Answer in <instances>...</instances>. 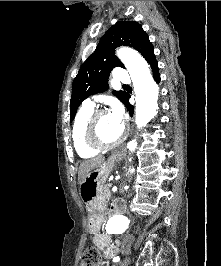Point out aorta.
Masks as SVG:
<instances>
[{"label":"aorta","instance_id":"obj_1","mask_svg":"<svg viewBox=\"0 0 221 266\" xmlns=\"http://www.w3.org/2000/svg\"><path fill=\"white\" fill-rule=\"evenodd\" d=\"M117 56L131 76L136 95L135 121L137 127L141 128L156 115L159 87L151 75L148 64L138 52L129 48H121L117 51ZM136 147V139L127 144L130 151H134ZM128 226L127 217L115 215L107 222L106 231L110 234H121L127 230Z\"/></svg>","mask_w":221,"mask_h":266}]
</instances>
